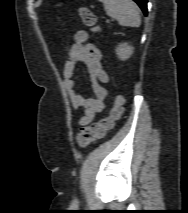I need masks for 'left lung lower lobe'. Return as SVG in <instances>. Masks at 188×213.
I'll return each mask as SVG.
<instances>
[{
    "mask_svg": "<svg viewBox=\"0 0 188 213\" xmlns=\"http://www.w3.org/2000/svg\"><path fill=\"white\" fill-rule=\"evenodd\" d=\"M143 10L144 14L147 15V0H134Z\"/></svg>",
    "mask_w": 188,
    "mask_h": 213,
    "instance_id": "0a47b994",
    "label": "left lung lower lobe"
}]
</instances>
